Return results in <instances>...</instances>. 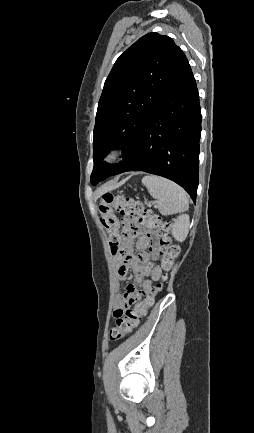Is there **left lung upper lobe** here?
I'll return each instance as SVG.
<instances>
[{"mask_svg":"<svg viewBox=\"0 0 254 433\" xmlns=\"http://www.w3.org/2000/svg\"><path fill=\"white\" fill-rule=\"evenodd\" d=\"M185 60L183 51L170 37L155 32L141 37L116 60L98 103L92 185L113 175L128 158ZM120 143L124 145L123 161L103 162L105 154Z\"/></svg>","mask_w":254,"mask_h":433,"instance_id":"1","label":"left lung upper lobe"}]
</instances>
